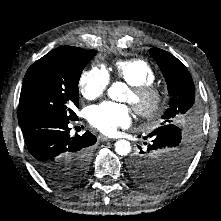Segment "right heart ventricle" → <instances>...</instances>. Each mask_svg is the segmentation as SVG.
<instances>
[{
  "instance_id": "right-heart-ventricle-1",
  "label": "right heart ventricle",
  "mask_w": 221,
  "mask_h": 221,
  "mask_svg": "<svg viewBox=\"0 0 221 221\" xmlns=\"http://www.w3.org/2000/svg\"><path fill=\"white\" fill-rule=\"evenodd\" d=\"M114 73L130 86L151 84L156 78L152 66L147 61L139 58L116 61Z\"/></svg>"
}]
</instances>
